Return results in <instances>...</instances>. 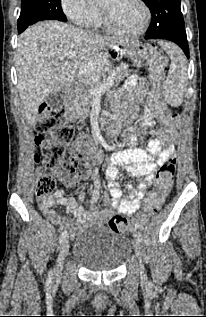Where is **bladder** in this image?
<instances>
[{
	"mask_svg": "<svg viewBox=\"0 0 206 317\" xmlns=\"http://www.w3.org/2000/svg\"><path fill=\"white\" fill-rule=\"evenodd\" d=\"M133 251L132 241L104 226H89L78 234L73 256L93 271H110L119 268Z\"/></svg>",
	"mask_w": 206,
	"mask_h": 317,
	"instance_id": "obj_1",
	"label": "bladder"
}]
</instances>
